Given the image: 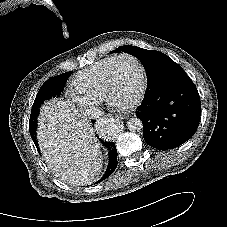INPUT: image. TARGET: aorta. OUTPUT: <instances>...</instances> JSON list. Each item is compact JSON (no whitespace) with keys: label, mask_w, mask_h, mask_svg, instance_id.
<instances>
[{"label":"aorta","mask_w":227,"mask_h":227,"mask_svg":"<svg viewBox=\"0 0 227 227\" xmlns=\"http://www.w3.org/2000/svg\"><path fill=\"white\" fill-rule=\"evenodd\" d=\"M127 126L129 131L132 132H138L143 127L142 121L136 117L130 118L127 122ZM104 127L109 134H113L117 129V122L115 119H108L105 121Z\"/></svg>","instance_id":"1"}]
</instances>
